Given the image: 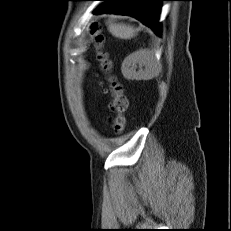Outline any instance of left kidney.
<instances>
[{"label":"left kidney","mask_w":231,"mask_h":231,"mask_svg":"<svg viewBox=\"0 0 231 231\" xmlns=\"http://www.w3.org/2000/svg\"><path fill=\"white\" fill-rule=\"evenodd\" d=\"M137 64L140 66L138 71H136ZM159 69L155 56L147 49L131 53L125 58L121 67L122 74L127 80L152 79L159 73Z\"/></svg>","instance_id":"obj_1"}]
</instances>
